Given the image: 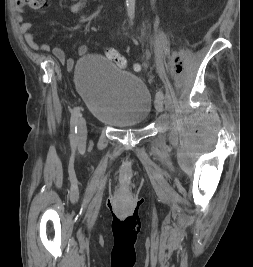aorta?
I'll list each match as a JSON object with an SVG mask.
<instances>
[{"label": "aorta", "mask_w": 253, "mask_h": 267, "mask_svg": "<svg viewBox=\"0 0 253 267\" xmlns=\"http://www.w3.org/2000/svg\"><path fill=\"white\" fill-rule=\"evenodd\" d=\"M135 0H126L127 16L130 18L129 22H132L135 18Z\"/></svg>", "instance_id": "aorta-1"}]
</instances>
